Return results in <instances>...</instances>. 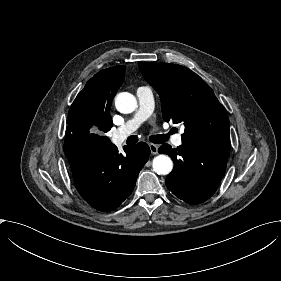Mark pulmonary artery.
Masks as SVG:
<instances>
[{
    "label": "pulmonary artery",
    "mask_w": 281,
    "mask_h": 281,
    "mask_svg": "<svg viewBox=\"0 0 281 281\" xmlns=\"http://www.w3.org/2000/svg\"><path fill=\"white\" fill-rule=\"evenodd\" d=\"M136 94L139 104L134 117L116 129L111 136L112 142L117 147L123 145L125 140L137 129L143 120L151 115L154 109V97L148 87H139ZM171 140L175 146L182 145V134H175Z\"/></svg>",
    "instance_id": "e3ab8cb5"
}]
</instances>
